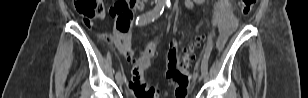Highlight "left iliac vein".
<instances>
[{"instance_id":"left-iliac-vein-1","label":"left iliac vein","mask_w":308,"mask_h":98,"mask_svg":"<svg viewBox=\"0 0 308 98\" xmlns=\"http://www.w3.org/2000/svg\"><path fill=\"white\" fill-rule=\"evenodd\" d=\"M205 76V73H201L200 77L203 78Z\"/></svg>"}]
</instances>
